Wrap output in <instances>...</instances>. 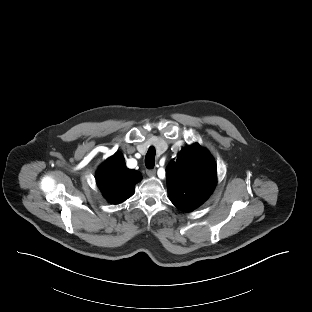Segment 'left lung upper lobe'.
Listing matches in <instances>:
<instances>
[{
    "label": "left lung upper lobe",
    "mask_w": 312,
    "mask_h": 312,
    "mask_svg": "<svg viewBox=\"0 0 312 312\" xmlns=\"http://www.w3.org/2000/svg\"><path fill=\"white\" fill-rule=\"evenodd\" d=\"M166 172L169 198L186 212L200 206L211 195L217 181L214 159L196 143L181 150Z\"/></svg>",
    "instance_id": "left-lung-upper-lobe-1"
}]
</instances>
